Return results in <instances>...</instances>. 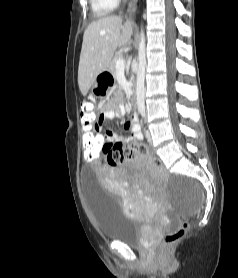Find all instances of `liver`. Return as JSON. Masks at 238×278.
<instances>
[{
    "instance_id": "1",
    "label": "liver",
    "mask_w": 238,
    "mask_h": 278,
    "mask_svg": "<svg viewBox=\"0 0 238 278\" xmlns=\"http://www.w3.org/2000/svg\"><path fill=\"white\" fill-rule=\"evenodd\" d=\"M133 33L132 22L122 25L120 16L93 21L85 30L78 68V85L85 96L97 76L109 67L118 47L124 46Z\"/></svg>"
}]
</instances>
